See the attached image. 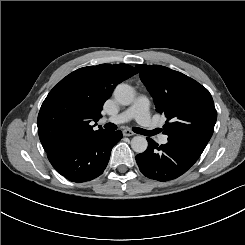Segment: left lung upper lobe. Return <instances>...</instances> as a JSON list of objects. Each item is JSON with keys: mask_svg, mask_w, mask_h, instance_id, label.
Wrapping results in <instances>:
<instances>
[{"mask_svg": "<svg viewBox=\"0 0 245 245\" xmlns=\"http://www.w3.org/2000/svg\"><path fill=\"white\" fill-rule=\"evenodd\" d=\"M136 68L154 99L156 110L167 117L163 133L185 147L203 151L217 119L209 91L167 67L138 64Z\"/></svg>", "mask_w": 245, "mask_h": 245, "instance_id": "left-lung-upper-lobe-1", "label": "left lung upper lobe"}]
</instances>
